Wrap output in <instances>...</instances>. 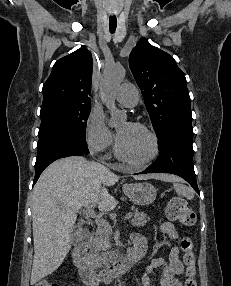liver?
<instances>
[{
	"label": "liver",
	"instance_id": "obj_1",
	"mask_svg": "<svg viewBox=\"0 0 231 286\" xmlns=\"http://www.w3.org/2000/svg\"><path fill=\"white\" fill-rule=\"evenodd\" d=\"M119 176L97 162L81 156L56 160L41 174L32 194L34 259L30 283L36 284L53 273L71 248V232L76 213L87 205L111 211L117 205L107 187ZM136 180H177L168 174H148Z\"/></svg>",
	"mask_w": 231,
	"mask_h": 286
}]
</instances>
